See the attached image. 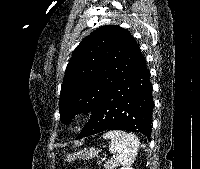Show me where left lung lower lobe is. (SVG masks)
Returning <instances> with one entry per match:
<instances>
[{"label":"left lung lower lobe","instance_id":"left-lung-lower-lobe-1","mask_svg":"<svg viewBox=\"0 0 200 169\" xmlns=\"http://www.w3.org/2000/svg\"><path fill=\"white\" fill-rule=\"evenodd\" d=\"M149 78L144 59L122 83L101 99L77 139L116 129L140 132L149 138L153 112Z\"/></svg>","mask_w":200,"mask_h":169}]
</instances>
